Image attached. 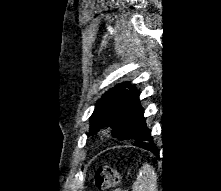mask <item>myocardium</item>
<instances>
[{
  "label": "myocardium",
  "instance_id": "1",
  "mask_svg": "<svg viewBox=\"0 0 221 191\" xmlns=\"http://www.w3.org/2000/svg\"><path fill=\"white\" fill-rule=\"evenodd\" d=\"M108 132H109V130H108V129H106V130H104V131H103L104 135H107V134H108Z\"/></svg>",
  "mask_w": 221,
  "mask_h": 191
}]
</instances>
